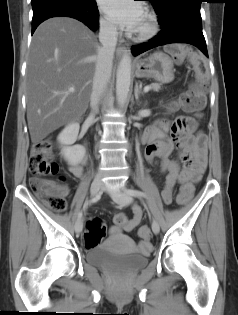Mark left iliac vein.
I'll use <instances>...</instances> for the list:
<instances>
[{
    "instance_id": "1",
    "label": "left iliac vein",
    "mask_w": 238,
    "mask_h": 315,
    "mask_svg": "<svg viewBox=\"0 0 238 315\" xmlns=\"http://www.w3.org/2000/svg\"><path fill=\"white\" fill-rule=\"evenodd\" d=\"M104 190L108 191V193L110 194L111 198L120 205H126L129 204L132 201V197L127 194L126 192L121 191L120 189H110L106 186L103 187ZM152 227V231L155 234H158L160 231V227L159 224L156 220L152 221L151 224Z\"/></svg>"
}]
</instances>
